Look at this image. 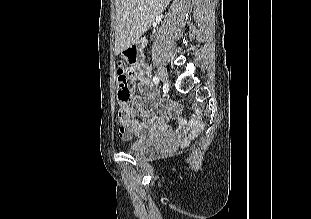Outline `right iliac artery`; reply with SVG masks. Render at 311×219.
Returning <instances> with one entry per match:
<instances>
[{
    "instance_id": "82829eb1",
    "label": "right iliac artery",
    "mask_w": 311,
    "mask_h": 219,
    "mask_svg": "<svg viewBox=\"0 0 311 219\" xmlns=\"http://www.w3.org/2000/svg\"><path fill=\"white\" fill-rule=\"evenodd\" d=\"M153 82H154L155 84H158V83H159V78H158L157 76H154V77H153Z\"/></svg>"
}]
</instances>
